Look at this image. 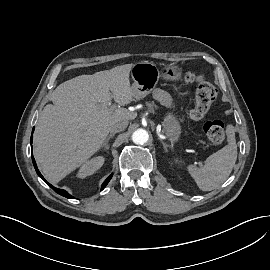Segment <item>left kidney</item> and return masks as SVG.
<instances>
[{
	"mask_svg": "<svg viewBox=\"0 0 270 270\" xmlns=\"http://www.w3.org/2000/svg\"><path fill=\"white\" fill-rule=\"evenodd\" d=\"M174 162L178 165H181V161L179 160V158H174Z\"/></svg>",
	"mask_w": 270,
	"mask_h": 270,
	"instance_id": "5707ae66",
	"label": "left kidney"
}]
</instances>
